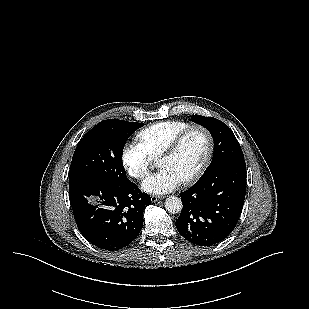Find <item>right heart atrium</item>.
I'll use <instances>...</instances> for the list:
<instances>
[{"label":"right heart atrium","mask_w":309,"mask_h":309,"mask_svg":"<svg viewBox=\"0 0 309 309\" xmlns=\"http://www.w3.org/2000/svg\"><path fill=\"white\" fill-rule=\"evenodd\" d=\"M122 161L128 174L138 180L145 179L153 166V158L137 142L125 145L122 152Z\"/></svg>","instance_id":"obj_1"}]
</instances>
